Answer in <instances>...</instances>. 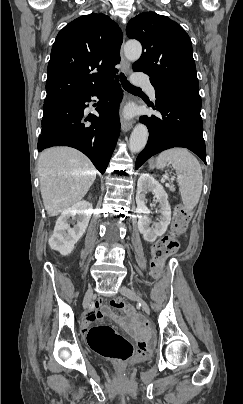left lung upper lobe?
<instances>
[{
	"instance_id": "obj_1",
	"label": "left lung upper lobe",
	"mask_w": 243,
	"mask_h": 404,
	"mask_svg": "<svg viewBox=\"0 0 243 404\" xmlns=\"http://www.w3.org/2000/svg\"><path fill=\"white\" fill-rule=\"evenodd\" d=\"M127 36L143 47L134 71L150 76L155 94L181 93L199 96L192 43L183 28L166 16L144 12L131 19Z\"/></svg>"
}]
</instances>
